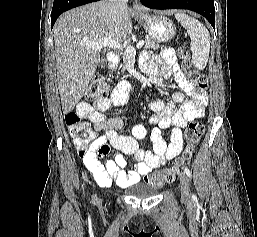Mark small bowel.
<instances>
[{
	"label": "small bowel",
	"instance_id": "c3829d8e",
	"mask_svg": "<svg viewBox=\"0 0 257 237\" xmlns=\"http://www.w3.org/2000/svg\"><path fill=\"white\" fill-rule=\"evenodd\" d=\"M175 62L174 51L164 49L160 56L145 62L143 68L151 75L170 77L173 75L172 67ZM174 80L191 99L185 100L183 94L175 93L170 103L157 100L149 104V108L155 113L149 119L154 125L150 135L152 151H145L140 147V142L147 135L145 125H136L131 134H128L121 132L125 128L126 117L106 118L104 115L110 107L126 103L131 86L129 81L119 82L111 96L103 101L94 105L82 101L77 105L78 115L89 120L93 127V130L89 129L93 139L83 147L78 141L74 142L86 168L101 187H109L113 182L121 187L134 184L141 176L164 166L181 153L183 129L188 122L204 115L203 107L208 102V96L205 91L196 89L180 71L174 73ZM162 130H168V135L164 136ZM95 131L104 133L97 137ZM112 149L132 155L136 163L129 166L122 155L107 159Z\"/></svg>",
	"mask_w": 257,
	"mask_h": 237
}]
</instances>
